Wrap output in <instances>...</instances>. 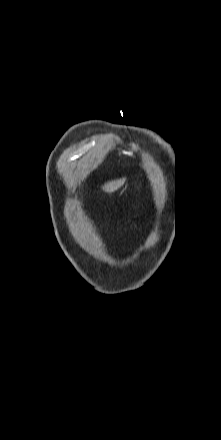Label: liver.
Returning <instances> with one entry per match:
<instances>
[{
	"instance_id": "obj_1",
	"label": "liver",
	"mask_w": 221,
	"mask_h": 440,
	"mask_svg": "<svg viewBox=\"0 0 221 440\" xmlns=\"http://www.w3.org/2000/svg\"><path fill=\"white\" fill-rule=\"evenodd\" d=\"M124 181H125V178L117 179L114 181H109L108 183H106L102 187V189L106 192L114 191V190L118 189L119 187H121L123 185Z\"/></svg>"
}]
</instances>
